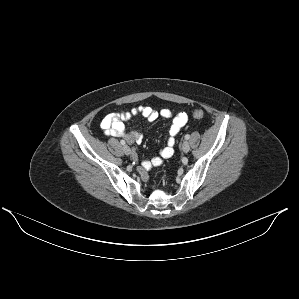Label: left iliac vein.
<instances>
[{"instance_id":"4c4485c4","label":"left iliac vein","mask_w":299,"mask_h":299,"mask_svg":"<svg viewBox=\"0 0 299 299\" xmlns=\"http://www.w3.org/2000/svg\"><path fill=\"white\" fill-rule=\"evenodd\" d=\"M181 149H182V151H183L184 153L189 152V150H190V145H189V143H188L187 141H185V142L182 144Z\"/></svg>"}]
</instances>
